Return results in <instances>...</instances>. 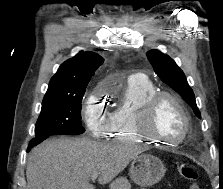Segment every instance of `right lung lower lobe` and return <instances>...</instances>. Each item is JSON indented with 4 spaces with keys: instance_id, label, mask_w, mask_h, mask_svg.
Listing matches in <instances>:
<instances>
[{
    "instance_id": "obj_1",
    "label": "right lung lower lobe",
    "mask_w": 223,
    "mask_h": 189,
    "mask_svg": "<svg viewBox=\"0 0 223 189\" xmlns=\"http://www.w3.org/2000/svg\"><path fill=\"white\" fill-rule=\"evenodd\" d=\"M48 137L49 136H45V137H41V138H33L28 145L27 152H29L32 147L38 145L39 143H41L43 140H45Z\"/></svg>"
}]
</instances>
